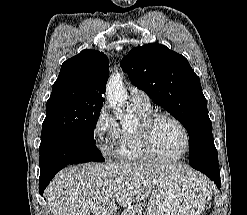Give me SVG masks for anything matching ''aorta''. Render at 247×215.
Listing matches in <instances>:
<instances>
[{
  "mask_svg": "<svg viewBox=\"0 0 247 215\" xmlns=\"http://www.w3.org/2000/svg\"><path fill=\"white\" fill-rule=\"evenodd\" d=\"M106 99L117 119L122 125H127L130 117L124 113V104L127 100V92L123 84L122 74L112 75L106 85Z\"/></svg>",
  "mask_w": 247,
  "mask_h": 215,
  "instance_id": "1",
  "label": "aorta"
}]
</instances>
